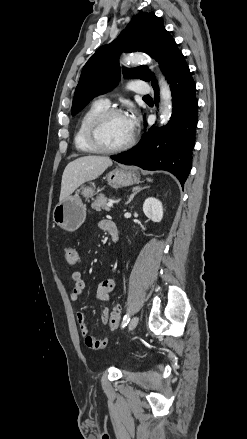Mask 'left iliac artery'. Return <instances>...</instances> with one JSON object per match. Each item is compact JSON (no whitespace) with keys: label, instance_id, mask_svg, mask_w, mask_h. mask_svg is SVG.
Listing matches in <instances>:
<instances>
[{"label":"left iliac artery","instance_id":"obj_1","mask_svg":"<svg viewBox=\"0 0 247 439\" xmlns=\"http://www.w3.org/2000/svg\"><path fill=\"white\" fill-rule=\"evenodd\" d=\"M129 321H130V314H129V311H127V313L125 314V316L123 318L121 327L124 328L128 324Z\"/></svg>","mask_w":247,"mask_h":439}]
</instances>
